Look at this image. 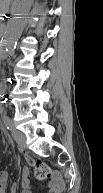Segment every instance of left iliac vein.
I'll return each instance as SVG.
<instances>
[{"label":"left iliac vein","instance_id":"1","mask_svg":"<svg viewBox=\"0 0 103 193\" xmlns=\"http://www.w3.org/2000/svg\"><path fill=\"white\" fill-rule=\"evenodd\" d=\"M12 136L16 141V143L20 146V148L22 149L26 148V137L23 133L13 128Z\"/></svg>","mask_w":103,"mask_h":193}]
</instances>
